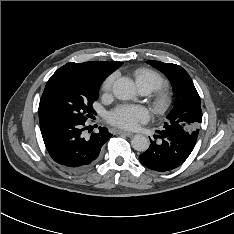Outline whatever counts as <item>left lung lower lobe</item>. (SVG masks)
<instances>
[{
    "mask_svg": "<svg viewBox=\"0 0 234 234\" xmlns=\"http://www.w3.org/2000/svg\"><path fill=\"white\" fill-rule=\"evenodd\" d=\"M161 142L150 139V146L146 152L139 156L140 162L155 171H169L180 166L192 152L195 143L190 142L182 134L162 130L157 131Z\"/></svg>",
    "mask_w": 234,
    "mask_h": 234,
    "instance_id": "0a47b994",
    "label": "left lung lower lobe"
}]
</instances>
